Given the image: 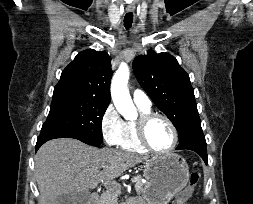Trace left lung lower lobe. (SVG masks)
Masks as SVG:
<instances>
[{"label": "left lung lower lobe", "mask_w": 253, "mask_h": 204, "mask_svg": "<svg viewBox=\"0 0 253 204\" xmlns=\"http://www.w3.org/2000/svg\"><path fill=\"white\" fill-rule=\"evenodd\" d=\"M188 149L198 153L204 162L208 163L205 137L200 119L190 124L185 134L179 139L176 150Z\"/></svg>", "instance_id": "1"}]
</instances>
